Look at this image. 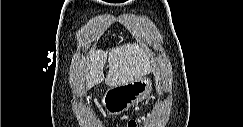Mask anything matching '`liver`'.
Wrapping results in <instances>:
<instances>
[{"label": "liver", "mask_w": 243, "mask_h": 127, "mask_svg": "<svg viewBox=\"0 0 243 127\" xmlns=\"http://www.w3.org/2000/svg\"><path fill=\"white\" fill-rule=\"evenodd\" d=\"M150 58L151 54L148 51L130 43L116 46L106 52L101 49L91 50L90 62L84 70L86 88H92L104 80L110 87L138 80L154 69ZM107 59L109 72L105 78L103 68Z\"/></svg>", "instance_id": "6515ba94"}]
</instances>
